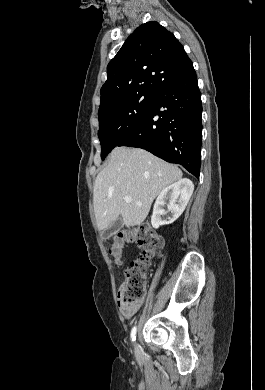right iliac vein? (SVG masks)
I'll return each mask as SVG.
<instances>
[{
	"label": "right iliac vein",
	"instance_id": "right-iliac-vein-1",
	"mask_svg": "<svg viewBox=\"0 0 265 390\" xmlns=\"http://www.w3.org/2000/svg\"><path fill=\"white\" fill-rule=\"evenodd\" d=\"M134 351H135L136 357H140L141 356V348H140L138 343L135 344Z\"/></svg>",
	"mask_w": 265,
	"mask_h": 390
}]
</instances>
